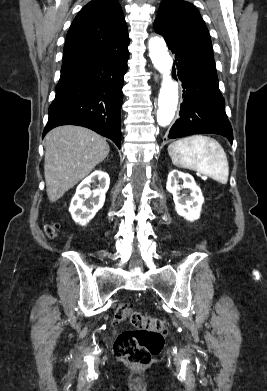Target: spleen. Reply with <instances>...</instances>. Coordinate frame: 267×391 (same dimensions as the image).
I'll use <instances>...</instances> for the list:
<instances>
[{"label":"spleen","instance_id":"obj_1","mask_svg":"<svg viewBox=\"0 0 267 391\" xmlns=\"http://www.w3.org/2000/svg\"><path fill=\"white\" fill-rule=\"evenodd\" d=\"M168 153L176 166L195 170L221 184L228 182L226 153L213 138L193 135L179 139L168 146Z\"/></svg>","mask_w":267,"mask_h":391}]
</instances>
